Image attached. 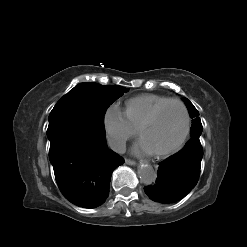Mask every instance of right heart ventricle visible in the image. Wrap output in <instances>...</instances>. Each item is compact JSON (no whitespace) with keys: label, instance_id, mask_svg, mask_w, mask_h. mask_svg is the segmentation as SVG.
Returning <instances> with one entry per match:
<instances>
[{"label":"right heart ventricle","instance_id":"e07e8e85","mask_svg":"<svg viewBox=\"0 0 247 247\" xmlns=\"http://www.w3.org/2000/svg\"><path fill=\"white\" fill-rule=\"evenodd\" d=\"M170 98L157 94H142L126 101L124 115L129 125L137 131L142 122L161 103Z\"/></svg>","mask_w":247,"mask_h":247}]
</instances>
